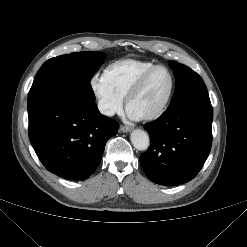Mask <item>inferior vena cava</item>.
Returning a JSON list of instances; mask_svg holds the SVG:
<instances>
[{
	"instance_id": "1",
	"label": "inferior vena cava",
	"mask_w": 247,
	"mask_h": 247,
	"mask_svg": "<svg viewBox=\"0 0 247 247\" xmlns=\"http://www.w3.org/2000/svg\"><path fill=\"white\" fill-rule=\"evenodd\" d=\"M98 108L101 114L106 116H113L115 114V110L107 103L103 101H99Z\"/></svg>"
}]
</instances>
